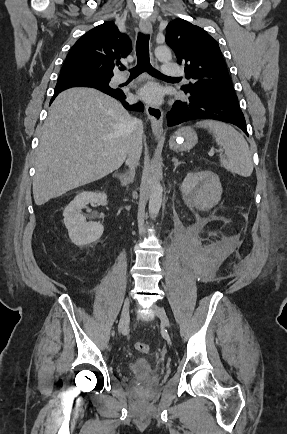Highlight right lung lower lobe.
I'll list each match as a JSON object with an SVG mask.
<instances>
[{
  "instance_id": "obj_1",
  "label": "right lung lower lobe",
  "mask_w": 287,
  "mask_h": 434,
  "mask_svg": "<svg viewBox=\"0 0 287 434\" xmlns=\"http://www.w3.org/2000/svg\"><path fill=\"white\" fill-rule=\"evenodd\" d=\"M81 86H83V85H81ZM71 87H77V86L57 85L55 87L54 96H53L51 102L55 99V97L61 91L65 90L67 88H71ZM85 87H93V88L99 89L100 91H102V92H104V93H106V94H108V95L116 98L128 110H132V111H141V110H143V104L141 102L140 103H136V104H129V103H127L125 94L123 93L122 90H120L118 88L117 89H106V88H101V87H96V86H85Z\"/></svg>"
}]
</instances>
